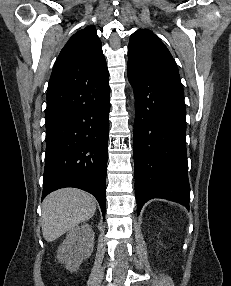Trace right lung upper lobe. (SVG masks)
I'll return each instance as SVG.
<instances>
[{
    "label": "right lung upper lobe",
    "mask_w": 231,
    "mask_h": 286,
    "mask_svg": "<svg viewBox=\"0 0 231 286\" xmlns=\"http://www.w3.org/2000/svg\"><path fill=\"white\" fill-rule=\"evenodd\" d=\"M108 73L101 41L96 29L89 26L75 33L61 50L50 77L48 103L81 82Z\"/></svg>",
    "instance_id": "1"
}]
</instances>
